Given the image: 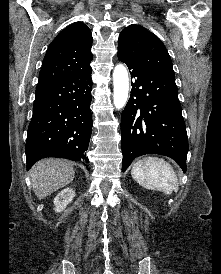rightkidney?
Returning <instances> with one entry per match:
<instances>
[{
	"label": "right kidney",
	"mask_w": 221,
	"mask_h": 274,
	"mask_svg": "<svg viewBox=\"0 0 221 274\" xmlns=\"http://www.w3.org/2000/svg\"><path fill=\"white\" fill-rule=\"evenodd\" d=\"M75 197V191L72 188H66L54 198L55 212L63 211Z\"/></svg>",
	"instance_id": "right-kidney-1"
}]
</instances>
